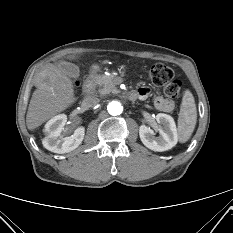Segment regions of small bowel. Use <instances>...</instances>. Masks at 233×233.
<instances>
[{"label": "small bowel", "mask_w": 233, "mask_h": 233, "mask_svg": "<svg viewBox=\"0 0 233 233\" xmlns=\"http://www.w3.org/2000/svg\"><path fill=\"white\" fill-rule=\"evenodd\" d=\"M137 97L140 99H146L150 94V88L146 85H142L137 91ZM155 107L163 112H171L175 108V104L172 100L163 97L158 94L154 99Z\"/></svg>", "instance_id": "c3829d8e"}]
</instances>
